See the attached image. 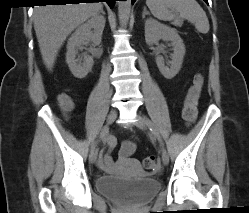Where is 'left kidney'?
<instances>
[{"label": "left kidney", "mask_w": 249, "mask_h": 213, "mask_svg": "<svg viewBox=\"0 0 249 213\" xmlns=\"http://www.w3.org/2000/svg\"><path fill=\"white\" fill-rule=\"evenodd\" d=\"M160 39L171 41L173 54L171 55L170 67L165 65L162 56L156 57V64L161 74L166 79H172L180 71L184 55L185 45L174 28L149 18L145 21V40L148 45L157 43Z\"/></svg>", "instance_id": "left-kidney-1"}]
</instances>
